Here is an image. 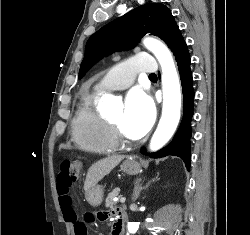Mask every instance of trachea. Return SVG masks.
<instances>
[{
  "label": "trachea",
  "instance_id": "1",
  "mask_svg": "<svg viewBox=\"0 0 250 235\" xmlns=\"http://www.w3.org/2000/svg\"><path fill=\"white\" fill-rule=\"evenodd\" d=\"M149 77H157L156 74H150Z\"/></svg>",
  "mask_w": 250,
  "mask_h": 235
}]
</instances>
